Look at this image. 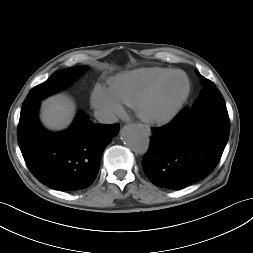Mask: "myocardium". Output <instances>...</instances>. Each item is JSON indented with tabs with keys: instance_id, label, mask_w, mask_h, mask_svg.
I'll return each instance as SVG.
<instances>
[{
	"instance_id": "1",
	"label": "myocardium",
	"mask_w": 253,
	"mask_h": 253,
	"mask_svg": "<svg viewBox=\"0 0 253 253\" xmlns=\"http://www.w3.org/2000/svg\"><path fill=\"white\" fill-rule=\"evenodd\" d=\"M176 76L184 77L186 81V88L183 94L176 100V102L165 112L156 113L153 111L152 106L159 95V93L164 89V87ZM191 90V84L188 76L183 71H174L167 77L163 78L157 84H155L140 100L137 108L139 115L147 122L152 124H166L173 120L177 114L180 112L181 108L185 104L189 97Z\"/></svg>"
}]
</instances>
